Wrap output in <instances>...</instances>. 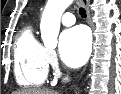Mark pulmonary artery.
Returning <instances> with one entry per match:
<instances>
[{
	"label": "pulmonary artery",
	"instance_id": "obj_1",
	"mask_svg": "<svg viewBox=\"0 0 121 94\" xmlns=\"http://www.w3.org/2000/svg\"><path fill=\"white\" fill-rule=\"evenodd\" d=\"M61 21L65 26H71L75 23L76 19L72 13L67 12L62 16Z\"/></svg>",
	"mask_w": 121,
	"mask_h": 94
}]
</instances>
